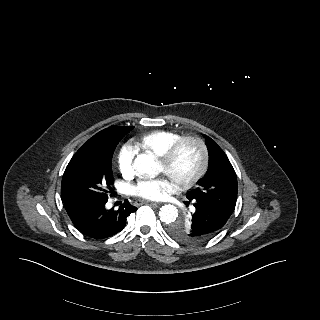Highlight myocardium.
I'll return each mask as SVG.
<instances>
[{
	"instance_id": "myocardium-1",
	"label": "myocardium",
	"mask_w": 320,
	"mask_h": 320,
	"mask_svg": "<svg viewBox=\"0 0 320 320\" xmlns=\"http://www.w3.org/2000/svg\"><path fill=\"white\" fill-rule=\"evenodd\" d=\"M192 143L194 144L199 152V165L197 170L190 175L189 177L183 180H176L173 178L172 174L170 173V169L174 165L182 147L187 144ZM161 162L166 169V173L170 179H172L173 184L177 190H184L195 183H197L206 173L208 168L209 162V153L208 148L205 141L196 135H187L180 137L161 157Z\"/></svg>"
}]
</instances>
